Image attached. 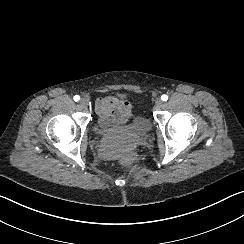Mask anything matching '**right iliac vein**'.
<instances>
[{"label":"right iliac vein","instance_id":"obj_1","mask_svg":"<svg viewBox=\"0 0 244 244\" xmlns=\"http://www.w3.org/2000/svg\"><path fill=\"white\" fill-rule=\"evenodd\" d=\"M79 104L82 108H86L88 106V101L85 98H83L79 101Z\"/></svg>","mask_w":244,"mask_h":244}]
</instances>
